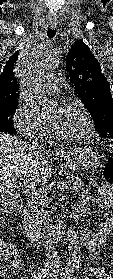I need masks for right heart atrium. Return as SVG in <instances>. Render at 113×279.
I'll return each mask as SVG.
<instances>
[{
	"mask_svg": "<svg viewBox=\"0 0 113 279\" xmlns=\"http://www.w3.org/2000/svg\"><path fill=\"white\" fill-rule=\"evenodd\" d=\"M13 124L18 133L29 141H35L47 133L45 123L20 98L12 115Z\"/></svg>",
	"mask_w": 113,
	"mask_h": 279,
	"instance_id": "d8ad5b80",
	"label": "right heart atrium"
}]
</instances>
